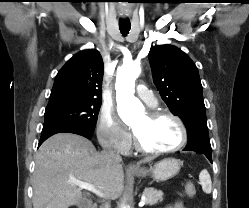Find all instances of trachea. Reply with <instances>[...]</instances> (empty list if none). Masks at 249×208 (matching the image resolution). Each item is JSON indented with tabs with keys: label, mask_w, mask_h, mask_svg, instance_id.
Segmentation results:
<instances>
[{
	"label": "trachea",
	"mask_w": 249,
	"mask_h": 208,
	"mask_svg": "<svg viewBox=\"0 0 249 208\" xmlns=\"http://www.w3.org/2000/svg\"><path fill=\"white\" fill-rule=\"evenodd\" d=\"M131 24L129 20H119V29L123 35H127L130 31Z\"/></svg>",
	"instance_id": "3493384b"
}]
</instances>
